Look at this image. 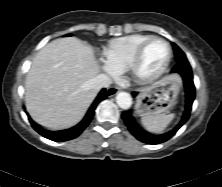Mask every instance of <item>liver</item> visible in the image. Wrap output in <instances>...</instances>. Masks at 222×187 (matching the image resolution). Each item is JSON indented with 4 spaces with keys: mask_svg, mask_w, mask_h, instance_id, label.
I'll list each match as a JSON object with an SVG mask.
<instances>
[{
    "mask_svg": "<svg viewBox=\"0 0 222 187\" xmlns=\"http://www.w3.org/2000/svg\"><path fill=\"white\" fill-rule=\"evenodd\" d=\"M99 71L93 49L78 38L48 43L37 53L27 74V111L49 129L75 125L96 96L90 82Z\"/></svg>",
    "mask_w": 222,
    "mask_h": 187,
    "instance_id": "6515ba94",
    "label": "liver"
}]
</instances>
